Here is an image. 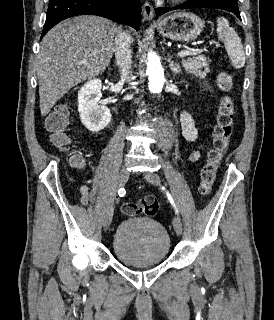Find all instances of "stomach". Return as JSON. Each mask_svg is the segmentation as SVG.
Instances as JSON below:
<instances>
[{
    "mask_svg": "<svg viewBox=\"0 0 274 320\" xmlns=\"http://www.w3.org/2000/svg\"><path fill=\"white\" fill-rule=\"evenodd\" d=\"M159 34L163 38L178 40V42H191L201 36L205 28V22L189 12H176L172 16L159 20L157 26Z\"/></svg>",
    "mask_w": 274,
    "mask_h": 320,
    "instance_id": "obj_1",
    "label": "stomach"
}]
</instances>
